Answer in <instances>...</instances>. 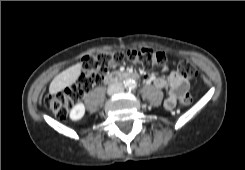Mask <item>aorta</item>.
<instances>
[{
	"instance_id": "obj_1",
	"label": "aorta",
	"mask_w": 245,
	"mask_h": 170,
	"mask_svg": "<svg viewBox=\"0 0 245 170\" xmlns=\"http://www.w3.org/2000/svg\"><path fill=\"white\" fill-rule=\"evenodd\" d=\"M126 85L129 89H134L136 87V82L134 80H129Z\"/></svg>"
}]
</instances>
